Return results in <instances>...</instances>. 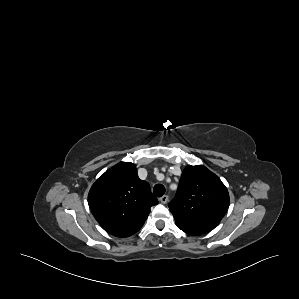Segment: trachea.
<instances>
[{"mask_svg":"<svg viewBox=\"0 0 299 299\" xmlns=\"http://www.w3.org/2000/svg\"><path fill=\"white\" fill-rule=\"evenodd\" d=\"M153 192L155 196L161 197L165 193V187L162 184H156L153 188Z\"/></svg>","mask_w":299,"mask_h":299,"instance_id":"1","label":"trachea"}]
</instances>
